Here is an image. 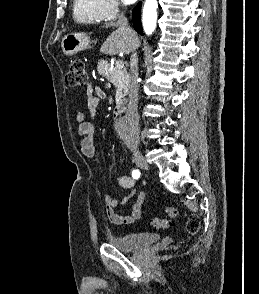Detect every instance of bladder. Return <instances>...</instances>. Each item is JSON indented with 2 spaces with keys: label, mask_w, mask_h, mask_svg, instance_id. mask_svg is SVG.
<instances>
[{
  "label": "bladder",
  "mask_w": 259,
  "mask_h": 294,
  "mask_svg": "<svg viewBox=\"0 0 259 294\" xmlns=\"http://www.w3.org/2000/svg\"><path fill=\"white\" fill-rule=\"evenodd\" d=\"M159 237L158 233L152 232L126 233L111 237L109 244L120 251L130 252L157 242Z\"/></svg>",
  "instance_id": "bladder-1"
}]
</instances>
